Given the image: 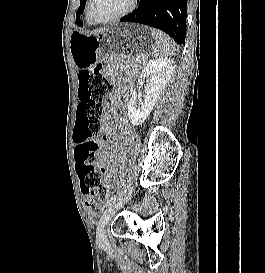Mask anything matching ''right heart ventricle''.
Returning <instances> with one entry per match:
<instances>
[{
	"instance_id": "1",
	"label": "right heart ventricle",
	"mask_w": 265,
	"mask_h": 273,
	"mask_svg": "<svg viewBox=\"0 0 265 273\" xmlns=\"http://www.w3.org/2000/svg\"><path fill=\"white\" fill-rule=\"evenodd\" d=\"M87 21H88L89 24H93V23H92L91 21H89L88 19H87Z\"/></svg>"
}]
</instances>
